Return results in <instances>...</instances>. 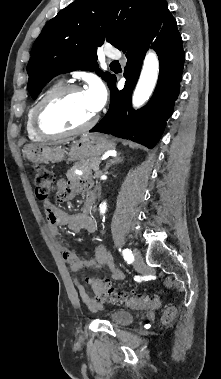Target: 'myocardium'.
I'll use <instances>...</instances> for the list:
<instances>
[{
	"label": "myocardium",
	"instance_id": "obj_1",
	"mask_svg": "<svg viewBox=\"0 0 221 379\" xmlns=\"http://www.w3.org/2000/svg\"><path fill=\"white\" fill-rule=\"evenodd\" d=\"M73 92H83V91L80 86L75 85V84L62 85L54 89L53 91H51L37 105L34 111V115H33V124H34L35 130L41 136L45 138H60V137L70 136V135H74V134L81 133L83 131L88 130L97 122L98 115L95 113L93 117L90 120H88L86 123L74 128L64 129V130H50L45 127L43 123V117L47 109L56 101L60 100L61 98Z\"/></svg>",
	"mask_w": 221,
	"mask_h": 379
}]
</instances>
